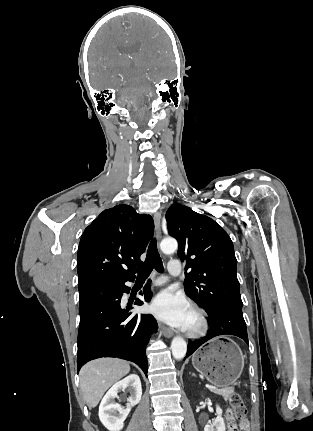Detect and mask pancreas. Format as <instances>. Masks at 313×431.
Returning <instances> with one entry per match:
<instances>
[{
    "mask_svg": "<svg viewBox=\"0 0 313 431\" xmlns=\"http://www.w3.org/2000/svg\"><path fill=\"white\" fill-rule=\"evenodd\" d=\"M215 394L221 395L225 400H228L234 394L233 387H227L223 389H210Z\"/></svg>",
    "mask_w": 313,
    "mask_h": 431,
    "instance_id": "obj_1",
    "label": "pancreas"
}]
</instances>
